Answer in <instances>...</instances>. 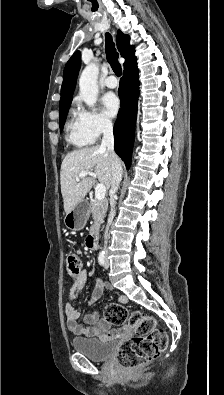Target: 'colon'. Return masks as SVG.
Wrapping results in <instances>:
<instances>
[{
  "instance_id": "5ec220e1",
  "label": "colon",
  "mask_w": 224,
  "mask_h": 395,
  "mask_svg": "<svg viewBox=\"0 0 224 395\" xmlns=\"http://www.w3.org/2000/svg\"><path fill=\"white\" fill-rule=\"evenodd\" d=\"M82 261L77 254H69L66 269L70 276L81 273ZM104 318L113 325L128 323L136 336L123 342L117 349L116 359L126 368H139L156 359L167 347L168 336L157 321L146 314L135 311L131 314L118 303H108Z\"/></svg>"
}]
</instances>
